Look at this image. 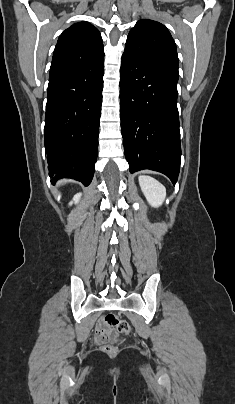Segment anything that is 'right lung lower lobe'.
<instances>
[{"label":"right lung lower lobe","mask_w":235,"mask_h":404,"mask_svg":"<svg viewBox=\"0 0 235 404\" xmlns=\"http://www.w3.org/2000/svg\"><path fill=\"white\" fill-rule=\"evenodd\" d=\"M103 61L51 70L45 115L49 175L90 184L98 153Z\"/></svg>","instance_id":"98d812e1"}]
</instances>
